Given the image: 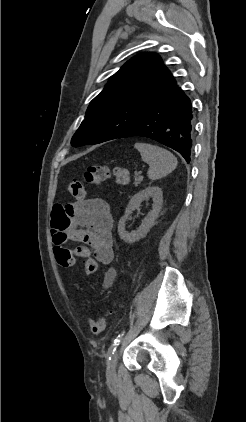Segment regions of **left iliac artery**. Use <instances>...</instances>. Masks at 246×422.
<instances>
[{"label":"left iliac artery","instance_id":"left-iliac-artery-1","mask_svg":"<svg viewBox=\"0 0 246 422\" xmlns=\"http://www.w3.org/2000/svg\"><path fill=\"white\" fill-rule=\"evenodd\" d=\"M124 335V331L121 333V334H119L117 337H116V339L113 341V343L111 344V346H110V348L108 349V352H107V359L108 360H110L111 359V356L114 354V352L116 351V348H117V346L119 345V343H120V341H121V339H122V336Z\"/></svg>","mask_w":246,"mask_h":422}]
</instances>
